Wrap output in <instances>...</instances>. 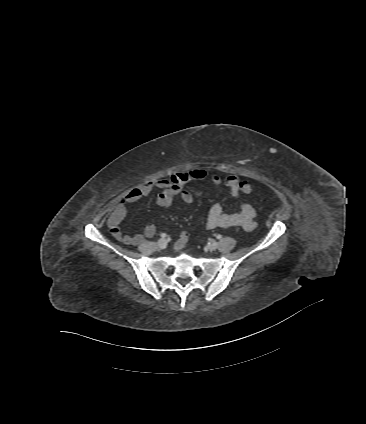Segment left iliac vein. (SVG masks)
Returning <instances> with one entry per match:
<instances>
[{"label":"left iliac vein","instance_id":"obj_1","mask_svg":"<svg viewBox=\"0 0 366 424\" xmlns=\"http://www.w3.org/2000/svg\"><path fill=\"white\" fill-rule=\"evenodd\" d=\"M209 247H210L211 250L217 249L218 248V242L215 241V240L211 241Z\"/></svg>","mask_w":366,"mask_h":424}]
</instances>
